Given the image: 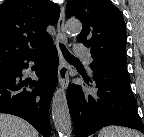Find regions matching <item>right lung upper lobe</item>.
<instances>
[{
	"label": "right lung upper lobe",
	"instance_id": "right-lung-upper-lobe-1",
	"mask_svg": "<svg viewBox=\"0 0 144 137\" xmlns=\"http://www.w3.org/2000/svg\"><path fill=\"white\" fill-rule=\"evenodd\" d=\"M59 15L49 0H5L0 5V72L52 42L46 27Z\"/></svg>",
	"mask_w": 144,
	"mask_h": 137
}]
</instances>
